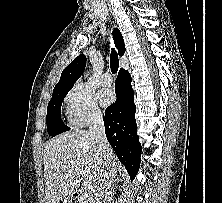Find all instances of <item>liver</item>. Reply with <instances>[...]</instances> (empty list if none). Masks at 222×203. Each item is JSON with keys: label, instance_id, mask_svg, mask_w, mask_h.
I'll list each match as a JSON object with an SVG mask.
<instances>
[{"label": "liver", "instance_id": "obj_1", "mask_svg": "<svg viewBox=\"0 0 222 203\" xmlns=\"http://www.w3.org/2000/svg\"><path fill=\"white\" fill-rule=\"evenodd\" d=\"M117 165V158L112 154ZM45 203H59L74 194L81 181L91 184L94 192L107 171L97 144L88 131L66 132L47 141L43 150ZM83 170L81 175L79 170Z\"/></svg>", "mask_w": 222, "mask_h": 203}]
</instances>
